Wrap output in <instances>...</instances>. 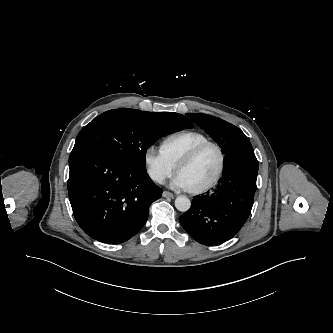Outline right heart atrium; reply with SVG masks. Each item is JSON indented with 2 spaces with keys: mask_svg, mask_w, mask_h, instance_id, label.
<instances>
[{
  "mask_svg": "<svg viewBox=\"0 0 333 333\" xmlns=\"http://www.w3.org/2000/svg\"><path fill=\"white\" fill-rule=\"evenodd\" d=\"M144 164L150 178L163 184L175 173L176 166L166 157L161 149L149 146L144 152Z\"/></svg>",
  "mask_w": 333,
  "mask_h": 333,
  "instance_id": "d8ad5b80",
  "label": "right heart atrium"
}]
</instances>
